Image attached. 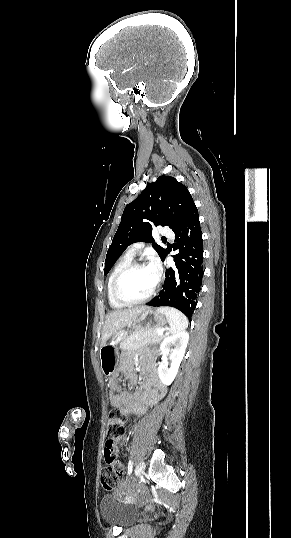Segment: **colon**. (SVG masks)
Instances as JSON below:
<instances>
[{
    "label": "colon",
    "instance_id": "obj_1",
    "mask_svg": "<svg viewBox=\"0 0 291 538\" xmlns=\"http://www.w3.org/2000/svg\"><path fill=\"white\" fill-rule=\"evenodd\" d=\"M125 415L116 407H112L108 415L107 440L104 456L106 467L101 472V485L105 490H112L119 483L122 466L117 461L115 441L123 434Z\"/></svg>",
    "mask_w": 291,
    "mask_h": 538
}]
</instances>
